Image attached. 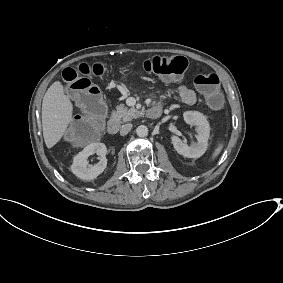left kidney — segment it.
<instances>
[{"label": "left kidney", "mask_w": 283, "mask_h": 283, "mask_svg": "<svg viewBox=\"0 0 283 283\" xmlns=\"http://www.w3.org/2000/svg\"><path fill=\"white\" fill-rule=\"evenodd\" d=\"M184 121L187 124L195 125L197 131V142L191 143L189 146L186 142H183L178 136H172V144L175 150L187 158H199L201 157L208 146V139L210 135V126L206 116L198 111H186L183 113Z\"/></svg>", "instance_id": "1"}]
</instances>
